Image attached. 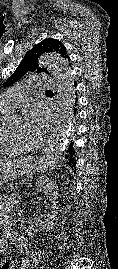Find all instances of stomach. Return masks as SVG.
I'll list each match as a JSON object with an SVG mask.
<instances>
[{
  "instance_id": "0dacf381",
  "label": "stomach",
  "mask_w": 118,
  "mask_h": 269,
  "mask_svg": "<svg viewBox=\"0 0 118 269\" xmlns=\"http://www.w3.org/2000/svg\"><path fill=\"white\" fill-rule=\"evenodd\" d=\"M35 168L33 160L30 158L14 162L6 167L0 168V187L15 178H21L29 175Z\"/></svg>"
}]
</instances>
